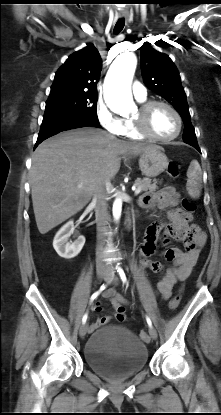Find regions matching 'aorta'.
I'll use <instances>...</instances> for the list:
<instances>
[{"label": "aorta", "instance_id": "1", "mask_svg": "<svg viewBox=\"0 0 221 415\" xmlns=\"http://www.w3.org/2000/svg\"><path fill=\"white\" fill-rule=\"evenodd\" d=\"M137 66L134 53L128 52L118 56L110 66L104 84V99L114 112L122 114L133 106L131 83ZM122 200L116 198L113 203V217L117 222L121 217Z\"/></svg>", "mask_w": 221, "mask_h": 415}]
</instances>
